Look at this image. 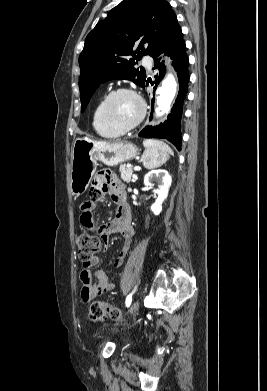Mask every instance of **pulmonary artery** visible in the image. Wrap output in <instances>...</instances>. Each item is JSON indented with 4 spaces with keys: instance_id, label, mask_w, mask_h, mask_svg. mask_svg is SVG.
<instances>
[{
    "instance_id": "pulmonary-artery-1",
    "label": "pulmonary artery",
    "mask_w": 267,
    "mask_h": 391,
    "mask_svg": "<svg viewBox=\"0 0 267 391\" xmlns=\"http://www.w3.org/2000/svg\"><path fill=\"white\" fill-rule=\"evenodd\" d=\"M142 63L149 71H151L152 65H153V60L150 56H145L142 60Z\"/></svg>"
}]
</instances>
